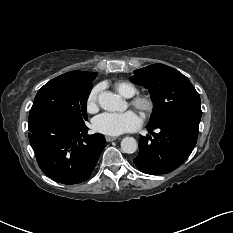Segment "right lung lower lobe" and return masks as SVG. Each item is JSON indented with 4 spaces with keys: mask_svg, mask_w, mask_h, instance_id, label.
Instances as JSON below:
<instances>
[{
    "mask_svg": "<svg viewBox=\"0 0 233 233\" xmlns=\"http://www.w3.org/2000/svg\"><path fill=\"white\" fill-rule=\"evenodd\" d=\"M30 144L42 172L56 182L72 185L87 180L106 140L88 135L85 123L44 115L28 122Z\"/></svg>",
    "mask_w": 233,
    "mask_h": 233,
    "instance_id": "right-lung-lower-lobe-1",
    "label": "right lung lower lobe"
}]
</instances>
